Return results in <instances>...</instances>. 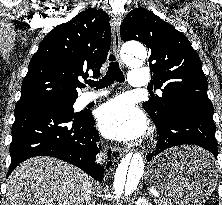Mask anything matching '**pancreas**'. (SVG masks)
<instances>
[{
  "mask_svg": "<svg viewBox=\"0 0 222 205\" xmlns=\"http://www.w3.org/2000/svg\"><path fill=\"white\" fill-rule=\"evenodd\" d=\"M155 203L157 205H172V202L165 199V198H159V199L155 200Z\"/></svg>",
  "mask_w": 222,
  "mask_h": 205,
  "instance_id": "1",
  "label": "pancreas"
}]
</instances>
